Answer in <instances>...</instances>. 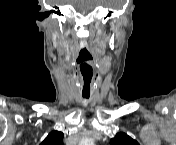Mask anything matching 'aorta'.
<instances>
[{
  "instance_id": "obj_1",
  "label": "aorta",
  "mask_w": 176,
  "mask_h": 145,
  "mask_svg": "<svg viewBox=\"0 0 176 145\" xmlns=\"http://www.w3.org/2000/svg\"><path fill=\"white\" fill-rule=\"evenodd\" d=\"M84 143H86V144H92L93 141H92L91 139H86V140L84 141Z\"/></svg>"
}]
</instances>
